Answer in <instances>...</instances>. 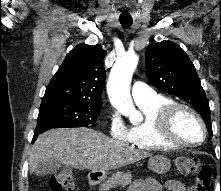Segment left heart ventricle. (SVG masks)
<instances>
[{"label":"left heart ventricle","mask_w":221,"mask_h":191,"mask_svg":"<svg viewBox=\"0 0 221 191\" xmlns=\"http://www.w3.org/2000/svg\"><path fill=\"white\" fill-rule=\"evenodd\" d=\"M177 135L188 142H198L202 137L201 129L192 116L180 114L175 122Z\"/></svg>","instance_id":"1"}]
</instances>
